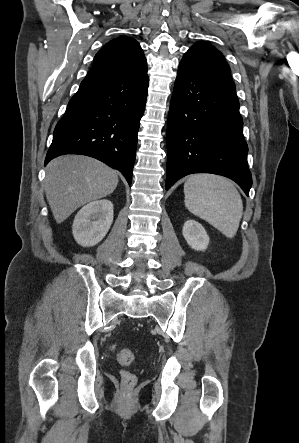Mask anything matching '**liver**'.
<instances>
[{
	"mask_svg": "<svg viewBox=\"0 0 299 443\" xmlns=\"http://www.w3.org/2000/svg\"><path fill=\"white\" fill-rule=\"evenodd\" d=\"M117 185V173L88 156H59L46 167L44 190L58 224L84 204L111 194Z\"/></svg>",
	"mask_w": 299,
	"mask_h": 443,
	"instance_id": "liver-1",
	"label": "liver"
}]
</instances>
